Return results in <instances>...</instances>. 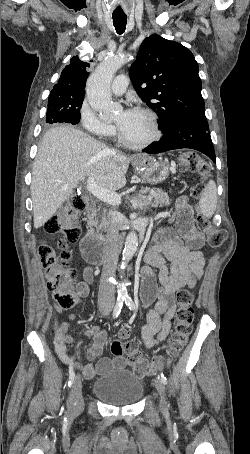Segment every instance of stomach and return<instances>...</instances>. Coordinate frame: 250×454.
Segmentation results:
<instances>
[{"label":"stomach","mask_w":250,"mask_h":454,"mask_svg":"<svg viewBox=\"0 0 250 454\" xmlns=\"http://www.w3.org/2000/svg\"><path fill=\"white\" fill-rule=\"evenodd\" d=\"M132 165L142 179L157 184L169 175L171 165L167 159L156 160L148 155H139L132 160Z\"/></svg>","instance_id":"obj_1"}]
</instances>
